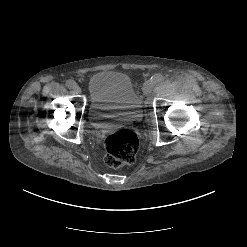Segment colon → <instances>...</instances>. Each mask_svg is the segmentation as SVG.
Wrapping results in <instances>:
<instances>
[{"instance_id": "colon-1", "label": "colon", "mask_w": 247, "mask_h": 247, "mask_svg": "<svg viewBox=\"0 0 247 247\" xmlns=\"http://www.w3.org/2000/svg\"><path fill=\"white\" fill-rule=\"evenodd\" d=\"M105 158L107 166L119 168L134 162L139 147V139L135 132L122 129L105 137Z\"/></svg>"}]
</instances>
